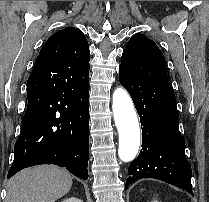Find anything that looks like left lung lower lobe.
Segmentation results:
<instances>
[{
	"label": "left lung lower lobe",
	"mask_w": 209,
	"mask_h": 202,
	"mask_svg": "<svg viewBox=\"0 0 209 202\" xmlns=\"http://www.w3.org/2000/svg\"><path fill=\"white\" fill-rule=\"evenodd\" d=\"M120 83L127 89L140 116L142 150L129 168L128 186L141 178H155L193 195L192 170L179 132V115L173 90L136 73L119 68Z\"/></svg>",
	"instance_id": "left-lung-lower-lobe-1"
}]
</instances>
